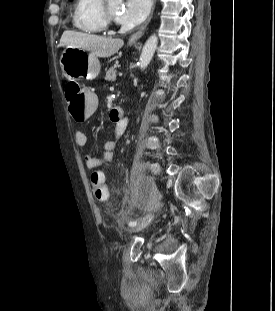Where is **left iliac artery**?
<instances>
[{"label": "left iliac artery", "instance_id": "left-iliac-artery-1", "mask_svg": "<svg viewBox=\"0 0 275 311\" xmlns=\"http://www.w3.org/2000/svg\"><path fill=\"white\" fill-rule=\"evenodd\" d=\"M136 224H137V221H130L129 222V226H132V227L136 226Z\"/></svg>", "mask_w": 275, "mask_h": 311}]
</instances>
